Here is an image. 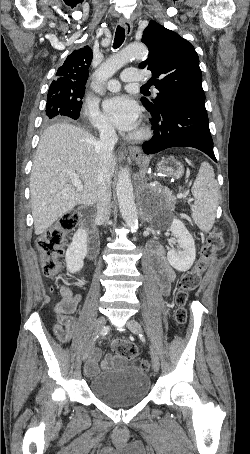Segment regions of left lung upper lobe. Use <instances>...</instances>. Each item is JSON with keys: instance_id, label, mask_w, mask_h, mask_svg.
<instances>
[{"instance_id": "obj_1", "label": "left lung upper lobe", "mask_w": 250, "mask_h": 454, "mask_svg": "<svg viewBox=\"0 0 250 454\" xmlns=\"http://www.w3.org/2000/svg\"><path fill=\"white\" fill-rule=\"evenodd\" d=\"M142 42L150 54L139 67L151 70V81L159 90L155 99L141 98L147 110L155 113L169 104L205 102L199 57L190 42L154 21L145 28Z\"/></svg>"}]
</instances>
